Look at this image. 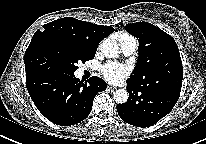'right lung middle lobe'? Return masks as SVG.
I'll return each mask as SVG.
<instances>
[{
  "mask_svg": "<svg viewBox=\"0 0 206 144\" xmlns=\"http://www.w3.org/2000/svg\"><path fill=\"white\" fill-rule=\"evenodd\" d=\"M95 53L60 41L42 39L29 45L26 50V74L42 71L74 74L78 68L76 64L93 59Z\"/></svg>",
  "mask_w": 206,
  "mask_h": 144,
  "instance_id": "1",
  "label": "right lung middle lobe"
}]
</instances>
